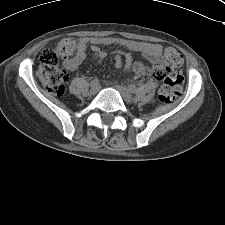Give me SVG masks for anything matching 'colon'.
Masks as SVG:
<instances>
[{
  "label": "colon",
  "instance_id": "obj_1",
  "mask_svg": "<svg viewBox=\"0 0 225 225\" xmlns=\"http://www.w3.org/2000/svg\"><path fill=\"white\" fill-rule=\"evenodd\" d=\"M75 59V42L71 38H63L53 47L46 48L39 57L37 75L48 92L55 96L64 93L67 73L63 66ZM183 63L182 55L173 48L166 49L161 64L148 71L146 68L138 79H144L149 73L163 84L158 91V101L170 104L183 90V76L174 69Z\"/></svg>",
  "mask_w": 225,
  "mask_h": 225
}]
</instances>
